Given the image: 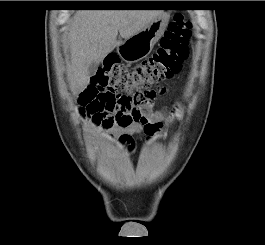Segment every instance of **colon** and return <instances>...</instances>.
<instances>
[{"label": "colon", "mask_w": 265, "mask_h": 245, "mask_svg": "<svg viewBox=\"0 0 265 245\" xmlns=\"http://www.w3.org/2000/svg\"><path fill=\"white\" fill-rule=\"evenodd\" d=\"M190 33V23L178 14L168 25L157 50L135 67L126 68L117 56H108L91 79L99 94L89 108L92 121L104 126L135 121L141 122L148 133L158 131L162 122H147L144 115L163 94L159 84L181 72L189 55Z\"/></svg>", "instance_id": "obj_1"}]
</instances>
